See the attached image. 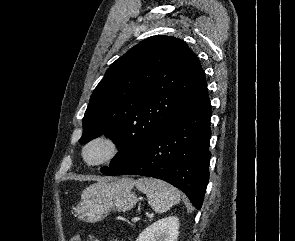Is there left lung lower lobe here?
<instances>
[{
    "label": "left lung lower lobe",
    "mask_w": 295,
    "mask_h": 241,
    "mask_svg": "<svg viewBox=\"0 0 295 241\" xmlns=\"http://www.w3.org/2000/svg\"><path fill=\"white\" fill-rule=\"evenodd\" d=\"M211 104L209 97L158 131L127 162L106 174L142 175L182 190L200 209L209 180Z\"/></svg>",
    "instance_id": "left-lung-lower-lobe-1"
}]
</instances>
